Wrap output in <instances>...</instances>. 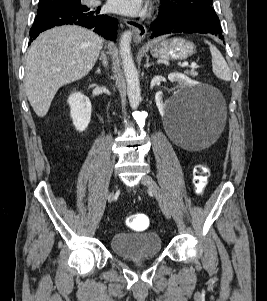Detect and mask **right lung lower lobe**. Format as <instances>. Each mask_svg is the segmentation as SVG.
I'll return each instance as SVG.
<instances>
[{
    "mask_svg": "<svg viewBox=\"0 0 267 301\" xmlns=\"http://www.w3.org/2000/svg\"><path fill=\"white\" fill-rule=\"evenodd\" d=\"M64 24L80 25L89 29L94 28V32L102 35L104 38L116 41L118 20L100 14V7L81 4L66 5L37 14L30 30V39L33 41L41 32Z\"/></svg>",
    "mask_w": 267,
    "mask_h": 301,
    "instance_id": "98d812e1",
    "label": "right lung lower lobe"
}]
</instances>
